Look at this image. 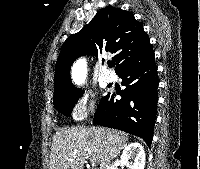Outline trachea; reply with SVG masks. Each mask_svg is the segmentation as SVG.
Segmentation results:
<instances>
[{"label":"trachea","instance_id":"trachea-1","mask_svg":"<svg viewBox=\"0 0 200 169\" xmlns=\"http://www.w3.org/2000/svg\"><path fill=\"white\" fill-rule=\"evenodd\" d=\"M108 64H109V67H111V68L115 66V63H113V62H109Z\"/></svg>","mask_w":200,"mask_h":169}]
</instances>
